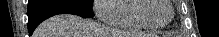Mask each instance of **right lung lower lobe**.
I'll return each mask as SVG.
<instances>
[{"instance_id": "obj_1", "label": "right lung lower lobe", "mask_w": 219, "mask_h": 37, "mask_svg": "<svg viewBox=\"0 0 219 37\" xmlns=\"http://www.w3.org/2000/svg\"><path fill=\"white\" fill-rule=\"evenodd\" d=\"M75 14L84 18L92 17V5L77 0H29L28 31L32 35L35 28L45 19L56 14Z\"/></svg>"}]
</instances>
